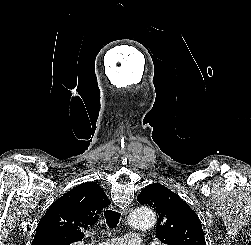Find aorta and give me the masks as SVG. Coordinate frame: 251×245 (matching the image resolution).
I'll return each mask as SVG.
<instances>
[{
  "mask_svg": "<svg viewBox=\"0 0 251 245\" xmlns=\"http://www.w3.org/2000/svg\"><path fill=\"white\" fill-rule=\"evenodd\" d=\"M155 223L156 215L149 207H138L131 214L130 225L135 229L146 230L153 227Z\"/></svg>",
  "mask_w": 251,
  "mask_h": 245,
  "instance_id": "1",
  "label": "aorta"
}]
</instances>
